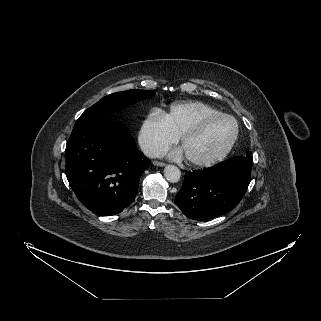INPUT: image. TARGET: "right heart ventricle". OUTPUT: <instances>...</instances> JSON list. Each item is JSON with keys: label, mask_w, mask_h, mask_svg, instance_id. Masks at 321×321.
Segmentation results:
<instances>
[{"label": "right heart ventricle", "mask_w": 321, "mask_h": 321, "mask_svg": "<svg viewBox=\"0 0 321 321\" xmlns=\"http://www.w3.org/2000/svg\"><path fill=\"white\" fill-rule=\"evenodd\" d=\"M218 113L221 112L209 104L188 101L173 104L162 116L167 129L178 138L185 129L200 119Z\"/></svg>", "instance_id": "1"}]
</instances>
